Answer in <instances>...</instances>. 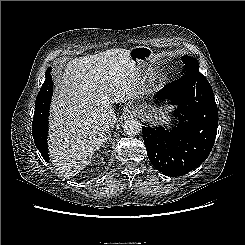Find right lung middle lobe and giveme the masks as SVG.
I'll return each instance as SVG.
<instances>
[{
  "instance_id": "right-lung-middle-lobe-1",
  "label": "right lung middle lobe",
  "mask_w": 245,
  "mask_h": 245,
  "mask_svg": "<svg viewBox=\"0 0 245 245\" xmlns=\"http://www.w3.org/2000/svg\"><path fill=\"white\" fill-rule=\"evenodd\" d=\"M53 92V81L51 76V68H48L46 71V79L38 93L35 103V112L36 116H48L50 101Z\"/></svg>"
}]
</instances>
